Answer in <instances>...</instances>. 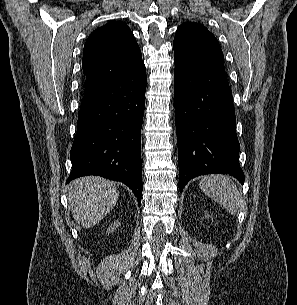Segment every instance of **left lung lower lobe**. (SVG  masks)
<instances>
[{
    "label": "left lung lower lobe",
    "instance_id": "left-lung-lower-lobe-1",
    "mask_svg": "<svg viewBox=\"0 0 297 305\" xmlns=\"http://www.w3.org/2000/svg\"><path fill=\"white\" fill-rule=\"evenodd\" d=\"M179 188L200 175L229 174L244 183L232 92L225 72L189 73L175 64Z\"/></svg>",
    "mask_w": 297,
    "mask_h": 305
}]
</instances>
